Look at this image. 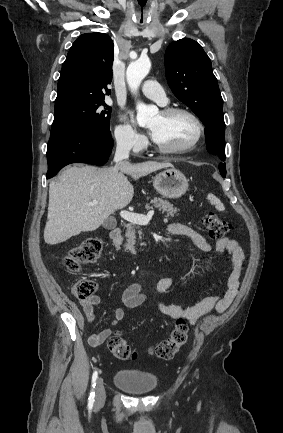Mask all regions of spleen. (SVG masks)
Segmentation results:
<instances>
[{
	"instance_id": "spleen-1",
	"label": "spleen",
	"mask_w": 283,
	"mask_h": 433,
	"mask_svg": "<svg viewBox=\"0 0 283 433\" xmlns=\"http://www.w3.org/2000/svg\"><path fill=\"white\" fill-rule=\"evenodd\" d=\"M208 200L211 202V204H215V208H217V210H224L225 206L223 202H221L220 198H217V196L211 194V192L208 194Z\"/></svg>"
}]
</instances>
